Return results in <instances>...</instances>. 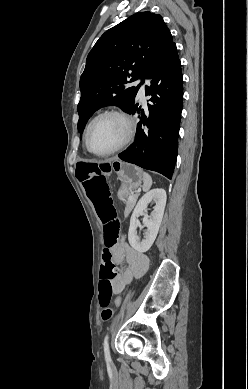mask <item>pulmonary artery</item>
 Here are the masks:
<instances>
[{
	"mask_svg": "<svg viewBox=\"0 0 248 389\" xmlns=\"http://www.w3.org/2000/svg\"><path fill=\"white\" fill-rule=\"evenodd\" d=\"M143 82V83H142ZM147 81L146 80H138V83H142V85L140 86V89H139V96L141 97V98H144V94H145V83H146Z\"/></svg>",
	"mask_w": 248,
	"mask_h": 389,
	"instance_id": "pulmonary-artery-1",
	"label": "pulmonary artery"
}]
</instances>
